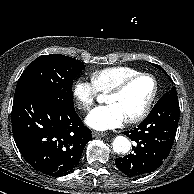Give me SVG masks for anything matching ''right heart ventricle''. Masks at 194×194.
Returning <instances> with one entry per match:
<instances>
[{"mask_svg": "<svg viewBox=\"0 0 194 194\" xmlns=\"http://www.w3.org/2000/svg\"><path fill=\"white\" fill-rule=\"evenodd\" d=\"M139 71L126 66L107 67L91 73V82L95 90L102 94H107L120 81L138 73Z\"/></svg>", "mask_w": 194, "mask_h": 194, "instance_id": "right-heart-ventricle-1", "label": "right heart ventricle"}]
</instances>
